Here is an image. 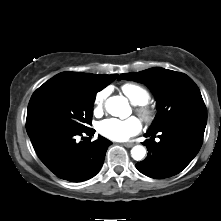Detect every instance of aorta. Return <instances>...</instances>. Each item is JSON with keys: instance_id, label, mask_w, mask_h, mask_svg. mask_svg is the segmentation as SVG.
Returning <instances> with one entry per match:
<instances>
[{"instance_id": "aorta-1", "label": "aorta", "mask_w": 221, "mask_h": 221, "mask_svg": "<svg viewBox=\"0 0 221 221\" xmlns=\"http://www.w3.org/2000/svg\"><path fill=\"white\" fill-rule=\"evenodd\" d=\"M126 105V99L122 96H113L107 99L105 107L108 113L112 116H119L122 107ZM146 150L143 146H134L131 150V155L134 160L140 161L144 158Z\"/></svg>"}]
</instances>
